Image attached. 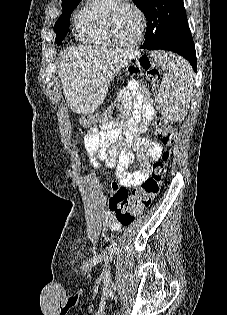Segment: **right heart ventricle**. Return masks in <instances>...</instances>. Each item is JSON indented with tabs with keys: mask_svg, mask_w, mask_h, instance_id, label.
<instances>
[{
	"mask_svg": "<svg viewBox=\"0 0 227 315\" xmlns=\"http://www.w3.org/2000/svg\"><path fill=\"white\" fill-rule=\"evenodd\" d=\"M117 0H86L74 16L77 31L84 41L90 44L112 45L106 29L110 7Z\"/></svg>",
	"mask_w": 227,
	"mask_h": 315,
	"instance_id": "right-heart-ventricle-1",
	"label": "right heart ventricle"
}]
</instances>
